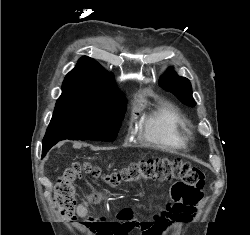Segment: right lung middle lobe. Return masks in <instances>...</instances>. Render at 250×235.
<instances>
[{"mask_svg":"<svg viewBox=\"0 0 250 235\" xmlns=\"http://www.w3.org/2000/svg\"><path fill=\"white\" fill-rule=\"evenodd\" d=\"M125 110L123 95L58 99L43 144L65 139L114 141Z\"/></svg>","mask_w":250,"mask_h":235,"instance_id":"dd1d6c3e","label":"right lung middle lobe"}]
</instances>
